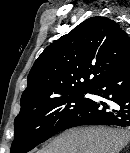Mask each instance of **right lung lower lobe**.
<instances>
[{"instance_id": "98d812e1", "label": "right lung lower lobe", "mask_w": 130, "mask_h": 153, "mask_svg": "<svg viewBox=\"0 0 130 153\" xmlns=\"http://www.w3.org/2000/svg\"><path fill=\"white\" fill-rule=\"evenodd\" d=\"M91 94L106 101L90 100L64 126L63 130L80 125H117L130 128V61L101 78Z\"/></svg>"}]
</instances>
